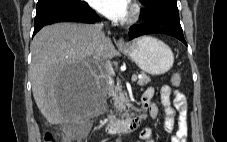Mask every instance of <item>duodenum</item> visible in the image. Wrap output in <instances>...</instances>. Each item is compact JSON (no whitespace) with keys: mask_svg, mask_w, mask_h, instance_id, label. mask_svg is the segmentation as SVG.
<instances>
[{"mask_svg":"<svg viewBox=\"0 0 227 142\" xmlns=\"http://www.w3.org/2000/svg\"><path fill=\"white\" fill-rule=\"evenodd\" d=\"M142 118L143 114L120 119L111 118L106 125V131L110 134H116L118 132L132 133L139 127Z\"/></svg>","mask_w":227,"mask_h":142,"instance_id":"410a0bca","label":"duodenum"}]
</instances>
